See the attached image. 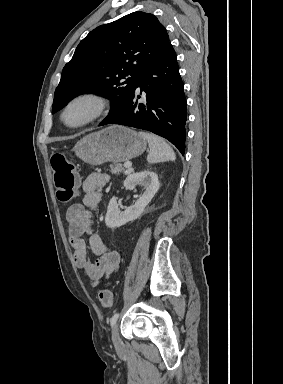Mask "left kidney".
I'll use <instances>...</instances> for the list:
<instances>
[{
    "label": "left kidney",
    "mask_w": 283,
    "mask_h": 384,
    "mask_svg": "<svg viewBox=\"0 0 283 384\" xmlns=\"http://www.w3.org/2000/svg\"><path fill=\"white\" fill-rule=\"evenodd\" d=\"M137 184L144 186L145 192L139 196L133 206H129L124 212H120L119 210L117 204L118 198H115V196L111 198L105 218L107 228H120V226H124L127 222H133V220L140 218L144 212V208L148 206L149 202H151L159 190L158 176L155 172H149V170L138 172V174H129L124 182L126 190H135Z\"/></svg>",
    "instance_id": "5707ae66"
}]
</instances>
